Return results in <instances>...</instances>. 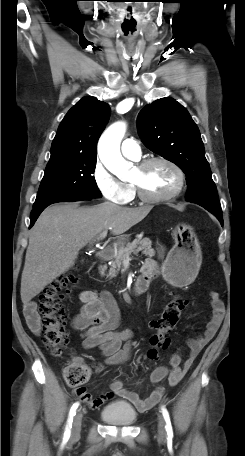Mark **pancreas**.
Returning <instances> with one entry per match:
<instances>
[{"label":"pancreas","mask_w":245,"mask_h":456,"mask_svg":"<svg viewBox=\"0 0 245 456\" xmlns=\"http://www.w3.org/2000/svg\"><path fill=\"white\" fill-rule=\"evenodd\" d=\"M139 252L150 257L155 255V251L152 248V242L149 238L134 239L126 246L119 247L116 252L111 251L108 255V259L112 260V264L108 276L111 278L115 277L121 268L122 262L130 257L131 254L137 255Z\"/></svg>","instance_id":"cf45deb5"}]
</instances>
